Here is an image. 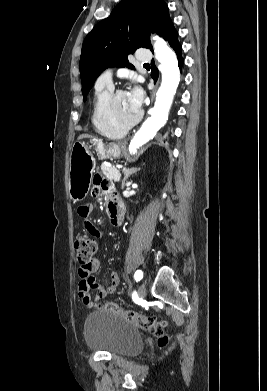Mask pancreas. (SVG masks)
Segmentation results:
<instances>
[{
  "mask_svg": "<svg viewBox=\"0 0 267 391\" xmlns=\"http://www.w3.org/2000/svg\"><path fill=\"white\" fill-rule=\"evenodd\" d=\"M101 171L109 180L119 181L121 178L120 171L116 167H109L102 164Z\"/></svg>",
  "mask_w": 267,
  "mask_h": 391,
  "instance_id": "1",
  "label": "pancreas"
}]
</instances>
